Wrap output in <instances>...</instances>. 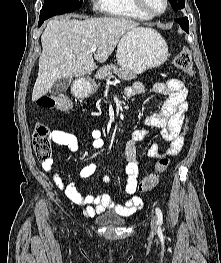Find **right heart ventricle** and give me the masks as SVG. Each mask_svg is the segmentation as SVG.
<instances>
[{"mask_svg":"<svg viewBox=\"0 0 221 263\" xmlns=\"http://www.w3.org/2000/svg\"><path fill=\"white\" fill-rule=\"evenodd\" d=\"M98 4L99 9L110 16L139 20L148 18L134 0H98Z\"/></svg>","mask_w":221,"mask_h":263,"instance_id":"obj_1","label":"right heart ventricle"}]
</instances>
